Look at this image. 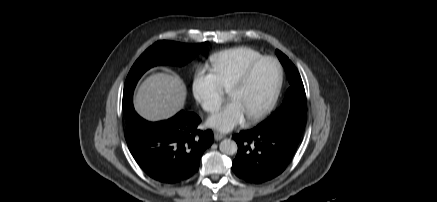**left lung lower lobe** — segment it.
Segmentation results:
<instances>
[{
    "label": "left lung lower lobe",
    "instance_id": "left-lung-lower-lobe-1",
    "mask_svg": "<svg viewBox=\"0 0 437 202\" xmlns=\"http://www.w3.org/2000/svg\"><path fill=\"white\" fill-rule=\"evenodd\" d=\"M302 129L278 122L258 125L233 136L238 145L232 170L250 183H262L281 174L293 157Z\"/></svg>",
    "mask_w": 437,
    "mask_h": 202
}]
</instances>
